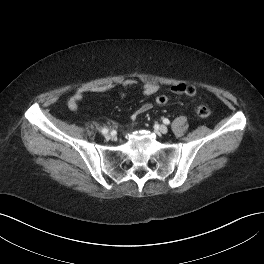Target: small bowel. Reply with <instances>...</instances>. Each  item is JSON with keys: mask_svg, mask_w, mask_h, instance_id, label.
Here are the masks:
<instances>
[{"mask_svg": "<svg viewBox=\"0 0 264 264\" xmlns=\"http://www.w3.org/2000/svg\"><path fill=\"white\" fill-rule=\"evenodd\" d=\"M136 81L133 79L125 80L122 83V91L121 94L125 96L127 94V90L134 87L136 85ZM185 84L179 83L174 84L171 87V91L174 94H183L185 93ZM116 88V85L113 83L104 84L100 86H92V87H80L78 88L74 94L71 96V98L68 101V109L70 111H76L79 108V103L83 100V97L88 92H95V93H101L106 91H111ZM160 87L157 83H145L140 87L141 93L145 96H152L156 94L159 91ZM153 107L151 103H146L143 106H141L136 114L132 116V120L136 118L137 115L143 114L150 110Z\"/></svg>", "mask_w": 264, "mask_h": 264, "instance_id": "small-bowel-1", "label": "small bowel"}]
</instances>
